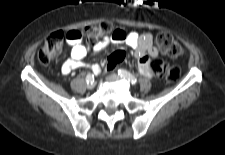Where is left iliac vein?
<instances>
[{
	"mask_svg": "<svg viewBox=\"0 0 225 155\" xmlns=\"http://www.w3.org/2000/svg\"><path fill=\"white\" fill-rule=\"evenodd\" d=\"M108 79H110V80H118V79H120V77L118 75H116V74H110L108 76Z\"/></svg>",
	"mask_w": 225,
	"mask_h": 155,
	"instance_id": "left-iliac-vein-1",
	"label": "left iliac vein"
}]
</instances>
